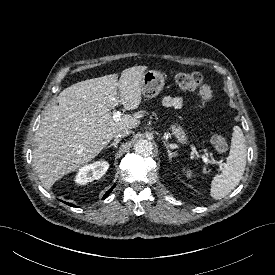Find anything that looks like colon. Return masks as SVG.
Returning <instances> with one entry per match:
<instances>
[{
    "mask_svg": "<svg viewBox=\"0 0 275 275\" xmlns=\"http://www.w3.org/2000/svg\"><path fill=\"white\" fill-rule=\"evenodd\" d=\"M177 86L186 92H196L199 97V106L207 104L212 98V90L205 83L203 77L198 72H181L175 76ZM212 147L215 151L223 153L227 150L228 142L225 136L214 134L210 139Z\"/></svg>",
    "mask_w": 275,
    "mask_h": 275,
    "instance_id": "colon-1",
    "label": "colon"
}]
</instances>
